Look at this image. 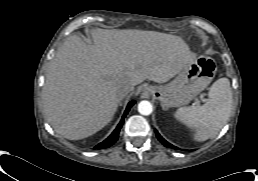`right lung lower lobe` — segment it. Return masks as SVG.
I'll return each mask as SVG.
<instances>
[{"instance_id": "1", "label": "right lung lower lobe", "mask_w": 258, "mask_h": 181, "mask_svg": "<svg viewBox=\"0 0 258 181\" xmlns=\"http://www.w3.org/2000/svg\"><path fill=\"white\" fill-rule=\"evenodd\" d=\"M135 104V101H131L123 116H122V119L120 121V123L118 124V126L116 127V129L113 131V133L106 139L104 140L103 142L99 143L98 145H96L94 147V149H104V148H109L110 146H112L118 139V135H119V131H120V128L122 127L123 123H124V118L126 117L127 113L129 112L130 108Z\"/></svg>"}]
</instances>
